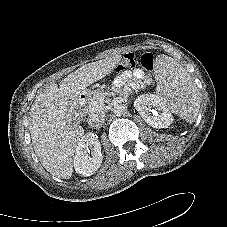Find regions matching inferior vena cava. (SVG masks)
<instances>
[{
    "instance_id": "inferior-vena-cava-1",
    "label": "inferior vena cava",
    "mask_w": 227,
    "mask_h": 227,
    "mask_svg": "<svg viewBox=\"0 0 227 227\" xmlns=\"http://www.w3.org/2000/svg\"><path fill=\"white\" fill-rule=\"evenodd\" d=\"M105 113L103 111H97L89 116L88 124L92 128H101L105 122Z\"/></svg>"
}]
</instances>
